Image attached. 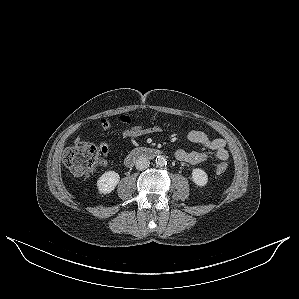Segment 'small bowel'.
Masks as SVG:
<instances>
[{
    "label": "small bowel",
    "instance_id": "small-bowel-1",
    "mask_svg": "<svg viewBox=\"0 0 299 299\" xmlns=\"http://www.w3.org/2000/svg\"><path fill=\"white\" fill-rule=\"evenodd\" d=\"M119 120L123 123L130 124L131 120L128 116L122 115ZM101 125L105 130L111 128V123L108 119H102ZM161 128L159 126L144 127L142 125H135L122 129V135L124 138H136L145 135H151L160 133ZM188 139L196 144L202 145L203 147L211 150L215 159L219 161H225L228 159V151L226 149V142L221 138L211 139L206 133L200 130H190L188 132ZM100 151L104 156H107L109 152V144L107 141L100 143ZM175 158L178 161L186 162L189 164H200L208 159V155L205 152L199 151H186L184 149H178L175 151Z\"/></svg>",
    "mask_w": 299,
    "mask_h": 299
}]
</instances>
